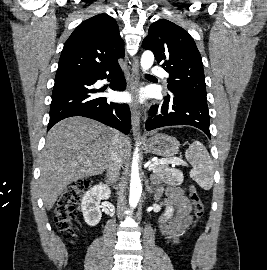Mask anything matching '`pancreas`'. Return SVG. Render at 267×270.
I'll return each instance as SVG.
<instances>
[{
    "mask_svg": "<svg viewBox=\"0 0 267 270\" xmlns=\"http://www.w3.org/2000/svg\"><path fill=\"white\" fill-rule=\"evenodd\" d=\"M153 168V175L160 177L166 183L174 184L175 183V176L174 170L168 167L167 163H161L160 160L152 162Z\"/></svg>",
    "mask_w": 267,
    "mask_h": 270,
    "instance_id": "obj_1",
    "label": "pancreas"
}]
</instances>
